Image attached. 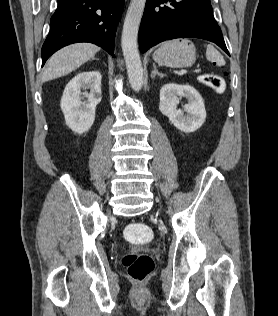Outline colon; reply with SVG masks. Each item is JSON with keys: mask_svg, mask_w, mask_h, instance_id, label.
<instances>
[{"mask_svg": "<svg viewBox=\"0 0 278 316\" xmlns=\"http://www.w3.org/2000/svg\"><path fill=\"white\" fill-rule=\"evenodd\" d=\"M201 82L217 93L225 90V80L218 74H205ZM125 238L132 243L144 244L153 239L152 229L143 223H131L124 230ZM122 264L128 275L136 282H144L154 270V260L143 253H129L123 256Z\"/></svg>", "mask_w": 278, "mask_h": 316, "instance_id": "5ec220e1", "label": "colon"}]
</instances>
